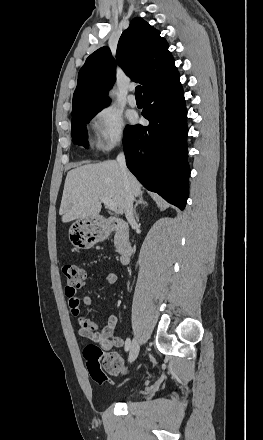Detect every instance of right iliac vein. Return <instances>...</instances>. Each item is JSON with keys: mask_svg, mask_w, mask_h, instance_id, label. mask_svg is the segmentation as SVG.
Wrapping results in <instances>:
<instances>
[{"mask_svg": "<svg viewBox=\"0 0 263 440\" xmlns=\"http://www.w3.org/2000/svg\"><path fill=\"white\" fill-rule=\"evenodd\" d=\"M139 351H140L139 342H138L137 339H134L133 343H132V346H131V349H130V352H129L128 360H129L130 363H132V362H134L136 360V358H137V356L139 354Z\"/></svg>", "mask_w": 263, "mask_h": 440, "instance_id": "1", "label": "right iliac vein"}]
</instances>
